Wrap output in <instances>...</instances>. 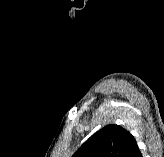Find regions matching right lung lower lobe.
I'll list each match as a JSON object with an SVG mask.
<instances>
[{
    "instance_id": "1",
    "label": "right lung lower lobe",
    "mask_w": 164,
    "mask_h": 157,
    "mask_svg": "<svg viewBox=\"0 0 164 157\" xmlns=\"http://www.w3.org/2000/svg\"><path fill=\"white\" fill-rule=\"evenodd\" d=\"M128 157H142V154H141V152H140L138 146H136V147L132 150V152L129 154Z\"/></svg>"
}]
</instances>
